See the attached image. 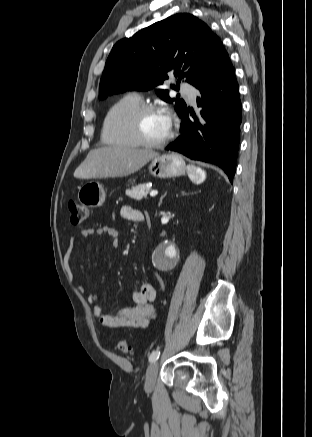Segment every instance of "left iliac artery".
<instances>
[{"label":"left iliac artery","instance_id":"1","mask_svg":"<svg viewBox=\"0 0 312 437\" xmlns=\"http://www.w3.org/2000/svg\"><path fill=\"white\" fill-rule=\"evenodd\" d=\"M159 356H160L159 350L153 351L149 356V362H151V363L156 362L159 359Z\"/></svg>","mask_w":312,"mask_h":437}]
</instances>
